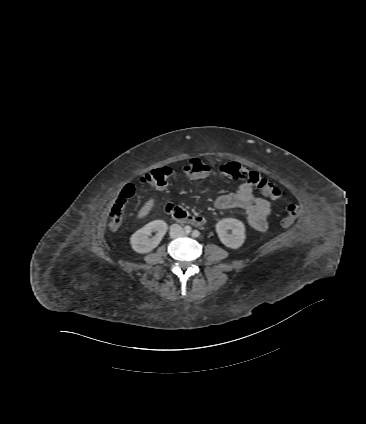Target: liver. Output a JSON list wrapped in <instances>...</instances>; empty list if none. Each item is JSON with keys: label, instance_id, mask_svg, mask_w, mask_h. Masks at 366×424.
Listing matches in <instances>:
<instances>
[{"label": "liver", "instance_id": "1", "mask_svg": "<svg viewBox=\"0 0 366 424\" xmlns=\"http://www.w3.org/2000/svg\"><path fill=\"white\" fill-rule=\"evenodd\" d=\"M154 203H155V199L154 198H150L145 204L144 206L141 208V210L138 213V218H143L146 215L149 214V212L152 210V208L154 207Z\"/></svg>", "mask_w": 366, "mask_h": 424}]
</instances>
